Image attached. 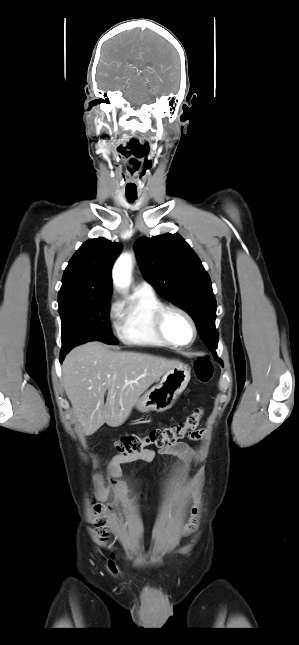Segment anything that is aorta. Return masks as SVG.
<instances>
[{
	"mask_svg": "<svg viewBox=\"0 0 299 645\" xmlns=\"http://www.w3.org/2000/svg\"><path fill=\"white\" fill-rule=\"evenodd\" d=\"M131 276V257L128 254L121 255L113 268V280L122 287H127L130 284Z\"/></svg>",
	"mask_w": 299,
	"mask_h": 645,
	"instance_id": "762f6f07",
	"label": "aorta"
}]
</instances>
